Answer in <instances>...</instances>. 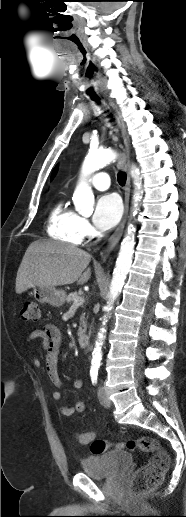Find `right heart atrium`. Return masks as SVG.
I'll list each match as a JSON object with an SVG mask.
<instances>
[{"label":"right heart atrium","instance_id":"obj_1","mask_svg":"<svg viewBox=\"0 0 186 517\" xmlns=\"http://www.w3.org/2000/svg\"><path fill=\"white\" fill-rule=\"evenodd\" d=\"M78 229L82 238H90L94 234V229L86 218L79 217Z\"/></svg>","mask_w":186,"mask_h":517}]
</instances>
